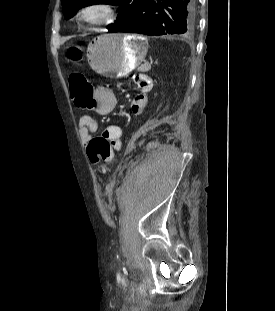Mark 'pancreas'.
Instances as JSON below:
<instances>
[{
	"label": "pancreas",
	"mask_w": 275,
	"mask_h": 311,
	"mask_svg": "<svg viewBox=\"0 0 275 311\" xmlns=\"http://www.w3.org/2000/svg\"><path fill=\"white\" fill-rule=\"evenodd\" d=\"M149 68H150V65L147 64V63H145V64L141 65V66L138 68V71L145 72V71L149 70Z\"/></svg>",
	"instance_id": "pancreas-1"
}]
</instances>
